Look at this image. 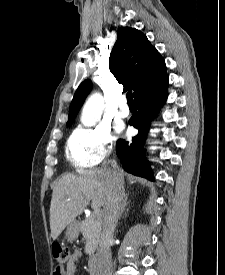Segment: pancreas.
I'll return each mask as SVG.
<instances>
[{"label":"pancreas","instance_id":"cf45deb5","mask_svg":"<svg viewBox=\"0 0 225 275\" xmlns=\"http://www.w3.org/2000/svg\"><path fill=\"white\" fill-rule=\"evenodd\" d=\"M101 224L94 217H89L80 225V231L86 240L85 253L92 255L99 243Z\"/></svg>","mask_w":225,"mask_h":275}]
</instances>
